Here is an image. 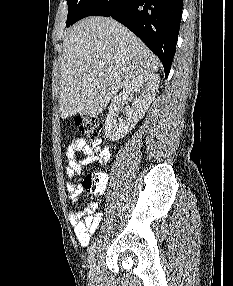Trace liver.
I'll return each mask as SVG.
<instances>
[{"mask_svg": "<svg viewBox=\"0 0 233 286\" xmlns=\"http://www.w3.org/2000/svg\"><path fill=\"white\" fill-rule=\"evenodd\" d=\"M159 67L148 47L117 21L85 18L63 40L60 115L97 116L131 79Z\"/></svg>", "mask_w": 233, "mask_h": 286, "instance_id": "6515ba94", "label": "liver"}]
</instances>
